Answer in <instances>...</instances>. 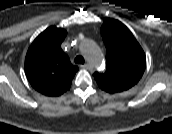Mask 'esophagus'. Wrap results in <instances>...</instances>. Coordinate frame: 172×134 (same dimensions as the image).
I'll list each match as a JSON object with an SVG mask.
<instances>
[{"instance_id":"34e87169","label":"esophagus","mask_w":172,"mask_h":134,"mask_svg":"<svg viewBox=\"0 0 172 134\" xmlns=\"http://www.w3.org/2000/svg\"><path fill=\"white\" fill-rule=\"evenodd\" d=\"M81 67L85 68V69L92 70V66L90 64H84V65H81Z\"/></svg>"}]
</instances>
